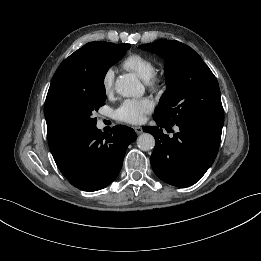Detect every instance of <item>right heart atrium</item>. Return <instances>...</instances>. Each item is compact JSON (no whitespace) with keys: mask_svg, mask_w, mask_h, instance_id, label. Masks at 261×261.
<instances>
[{"mask_svg":"<svg viewBox=\"0 0 261 261\" xmlns=\"http://www.w3.org/2000/svg\"><path fill=\"white\" fill-rule=\"evenodd\" d=\"M114 70L112 68H108L102 75L101 85L105 94H110L113 91L114 85Z\"/></svg>","mask_w":261,"mask_h":261,"instance_id":"obj_1","label":"right heart atrium"}]
</instances>
